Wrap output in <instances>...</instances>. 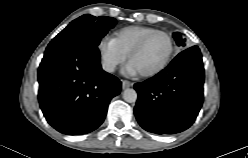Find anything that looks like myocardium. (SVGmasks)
I'll list each match as a JSON object with an SVG mask.
<instances>
[{
    "label": "myocardium",
    "mask_w": 248,
    "mask_h": 158,
    "mask_svg": "<svg viewBox=\"0 0 248 158\" xmlns=\"http://www.w3.org/2000/svg\"><path fill=\"white\" fill-rule=\"evenodd\" d=\"M156 34L164 35L168 39L169 50H168V53H167L165 60L158 67H156L155 69H153L151 71L140 73V75L143 77H152V76H155V75L159 74L160 72H162L169 65V63L172 59V56L174 54L175 45H174V40H173L172 36L166 31L154 30V31L146 34L143 38H141V40L131 49V51L128 54V60L131 61L132 57L134 55H136L138 52H140L143 49V47L146 45L148 40Z\"/></svg>",
    "instance_id": "1"
}]
</instances>
